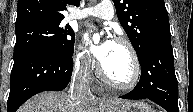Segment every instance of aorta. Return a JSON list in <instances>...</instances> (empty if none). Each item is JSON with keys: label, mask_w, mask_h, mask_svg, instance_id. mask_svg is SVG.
Masks as SVG:
<instances>
[{"label": "aorta", "mask_w": 193, "mask_h": 112, "mask_svg": "<svg viewBox=\"0 0 193 112\" xmlns=\"http://www.w3.org/2000/svg\"><path fill=\"white\" fill-rule=\"evenodd\" d=\"M94 43H98L100 40V35L98 33L94 34L92 37Z\"/></svg>", "instance_id": "obj_1"}]
</instances>
